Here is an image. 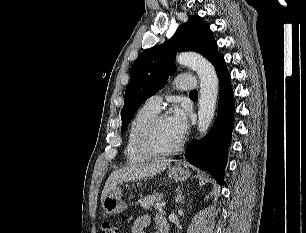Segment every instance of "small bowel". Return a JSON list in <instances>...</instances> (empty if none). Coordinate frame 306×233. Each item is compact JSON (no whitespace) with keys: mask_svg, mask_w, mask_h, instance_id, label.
<instances>
[{"mask_svg":"<svg viewBox=\"0 0 306 233\" xmlns=\"http://www.w3.org/2000/svg\"><path fill=\"white\" fill-rule=\"evenodd\" d=\"M149 222L150 220L147 216L137 218L132 225L131 233H145V228L148 226ZM156 224L159 229L161 226L167 225V222L163 216H158Z\"/></svg>","mask_w":306,"mask_h":233,"instance_id":"obj_1","label":"small bowel"}]
</instances>
